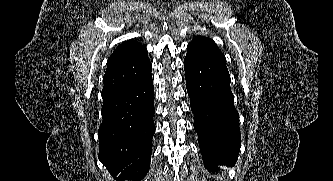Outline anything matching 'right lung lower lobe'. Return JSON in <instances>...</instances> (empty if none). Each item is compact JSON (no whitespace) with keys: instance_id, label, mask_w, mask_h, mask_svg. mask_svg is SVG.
Instances as JSON below:
<instances>
[{"instance_id":"1","label":"right lung lower lobe","mask_w":333,"mask_h":181,"mask_svg":"<svg viewBox=\"0 0 333 181\" xmlns=\"http://www.w3.org/2000/svg\"><path fill=\"white\" fill-rule=\"evenodd\" d=\"M99 160L118 180H141L150 166L154 89L151 73L103 97Z\"/></svg>"}]
</instances>
